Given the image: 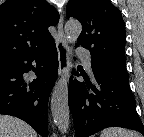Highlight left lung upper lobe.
Wrapping results in <instances>:
<instances>
[{"label": "left lung upper lobe", "mask_w": 144, "mask_h": 137, "mask_svg": "<svg viewBox=\"0 0 144 137\" xmlns=\"http://www.w3.org/2000/svg\"><path fill=\"white\" fill-rule=\"evenodd\" d=\"M66 16L81 22L82 32L76 45L89 49L92 61L127 73L125 24L109 0H70Z\"/></svg>", "instance_id": "1"}]
</instances>
